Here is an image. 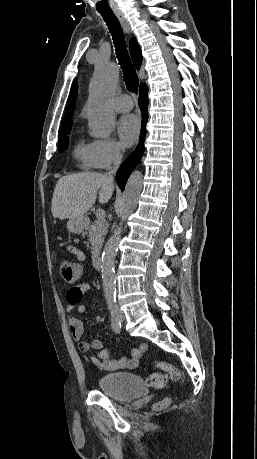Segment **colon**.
<instances>
[{
  "mask_svg": "<svg viewBox=\"0 0 257 459\" xmlns=\"http://www.w3.org/2000/svg\"><path fill=\"white\" fill-rule=\"evenodd\" d=\"M59 272L68 284L75 283L82 275V269L79 264H73L72 261L62 260L59 263ZM155 366L159 369L152 372L146 379V384L152 388H162L166 385L168 379L177 381L180 379L179 370L165 361H156ZM170 403L169 398H164L156 405V409H162Z\"/></svg>",
  "mask_w": 257,
  "mask_h": 459,
  "instance_id": "5ec220e1",
  "label": "colon"
}]
</instances>
